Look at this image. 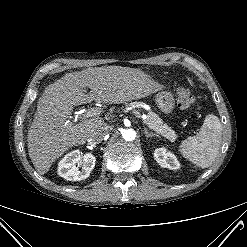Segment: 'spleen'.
Wrapping results in <instances>:
<instances>
[{"label": "spleen", "mask_w": 247, "mask_h": 247, "mask_svg": "<svg viewBox=\"0 0 247 247\" xmlns=\"http://www.w3.org/2000/svg\"><path fill=\"white\" fill-rule=\"evenodd\" d=\"M222 126L219 118L209 114L197 135L183 140L179 151L181 155L201 168L209 167L215 160L221 143Z\"/></svg>", "instance_id": "obj_1"}]
</instances>
